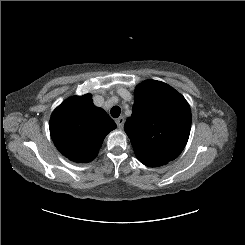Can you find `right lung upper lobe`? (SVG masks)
Returning a JSON list of instances; mask_svg holds the SVG:
<instances>
[{
  "label": "right lung upper lobe",
  "mask_w": 245,
  "mask_h": 245,
  "mask_svg": "<svg viewBox=\"0 0 245 245\" xmlns=\"http://www.w3.org/2000/svg\"><path fill=\"white\" fill-rule=\"evenodd\" d=\"M115 122L92 103L90 94L72 96L59 105L50 119V134L57 149L74 162H90L98 154Z\"/></svg>",
  "instance_id": "right-lung-upper-lobe-1"
}]
</instances>
